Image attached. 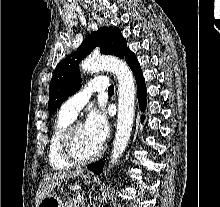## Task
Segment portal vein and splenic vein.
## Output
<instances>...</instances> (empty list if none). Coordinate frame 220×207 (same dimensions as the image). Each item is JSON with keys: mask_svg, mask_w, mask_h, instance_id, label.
<instances>
[{"mask_svg": "<svg viewBox=\"0 0 220 207\" xmlns=\"http://www.w3.org/2000/svg\"><path fill=\"white\" fill-rule=\"evenodd\" d=\"M78 200H79V201H83V200H84V199H83V196H79V197H78Z\"/></svg>", "mask_w": 220, "mask_h": 207, "instance_id": "portal-vein-and-splenic-vein-1", "label": "portal vein and splenic vein"}]
</instances>
